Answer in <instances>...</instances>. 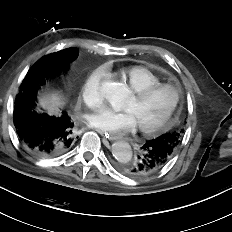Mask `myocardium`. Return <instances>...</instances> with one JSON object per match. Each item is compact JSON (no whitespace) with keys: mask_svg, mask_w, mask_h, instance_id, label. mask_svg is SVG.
<instances>
[{"mask_svg":"<svg viewBox=\"0 0 232 232\" xmlns=\"http://www.w3.org/2000/svg\"><path fill=\"white\" fill-rule=\"evenodd\" d=\"M161 89L171 90L174 95L173 101L171 105L169 106L165 115L161 119H159L157 122L150 124V125H138L139 131L142 132L143 134H146V135L154 134L169 124L170 120L172 119L180 103L181 92L177 86L173 84H169V83H158V84L144 87L140 90L133 91L134 98L140 101V100L146 99L151 94Z\"/></svg>","mask_w":232,"mask_h":232,"instance_id":"1","label":"myocardium"}]
</instances>
